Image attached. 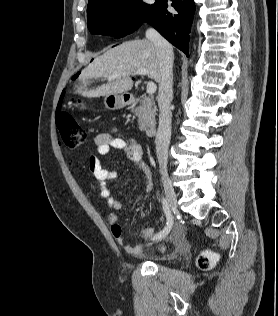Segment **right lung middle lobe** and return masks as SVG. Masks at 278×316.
I'll return each mask as SVG.
<instances>
[{"mask_svg": "<svg viewBox=\"0 0 278 316\" xmlns=\"http://www.w3.org/2000/svg\"><path fill=\"white\" fill-rule=\"evenodd\" d=\"M155 5L141 0L105 1L87 11V26L92 34L122 37L147 21Z\"/></svg>", "mask_w": 278, "mask_h": 316, "instance_id": "dd1d6c3e", "label": "right lung middle lobe"}]
</instances>
